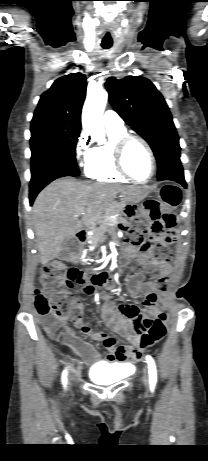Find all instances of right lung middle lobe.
I'll return each instance as SVG.
<instances>
[{
    "instance_id": "dd1d6c3e",
    "label": "right lung middle lobe",
    "mask_w": 208,
    "mask_h": 461,
    "mask_svg": "<svg viewBox=\"0 0 208 461\" xmlns=\"http://www.w3.org/2000/svg\"><path fill=\"white\" fill-rule=\"evenodd\" d=\"M80 128L53 119L31 121V177L50 168H65L79 175L75 159Z\"/></svg>"
}]
</instances>
